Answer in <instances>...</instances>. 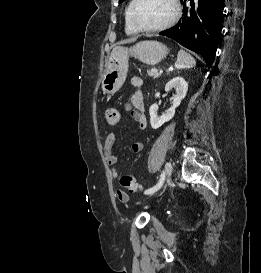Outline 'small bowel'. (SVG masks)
<instances>
[{
	"instance_id": "c3829d8e",
	"label": "small bowel",
	"mask_w": 261,
	"mask_h": 273,
	"mask_svg": "<svg viewBox=\"0 0 261 273\" xmlns=\"http://www.w3.org/2000/svg\"><path fill=\"white\" fill-rule=\"evenodd\" d=\"M131 84L135 87H141L144 81L140 77H133ZM124 110L127 111L132 119L139 125L140 129H144L147 125L146 116L144 113V96L141 91H136L132 97L130 103L124 105ZM116 134L111 132L107 135L104 143V154L107 164L110 167V174L112 178L119 176V171L116 168L117 157L114 152V143L116 141ZM131 150L135 153H139L143 150V143L140 140H135L131 144ZM116 195L121 202L128 201V194L122 190H117Z\"/></svg>"
}]
</instances>
